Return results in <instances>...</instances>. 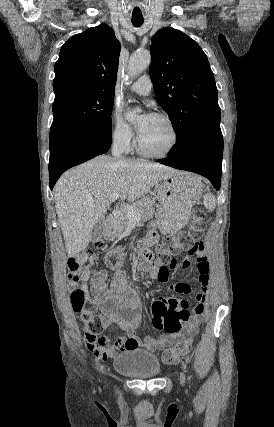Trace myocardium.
I'll return each mask as SVG.
<instances>
[{
    "label": "myocardium",
    "mask_w": 274,
    "mask_h": 427,
    "mask_svg": "<svg viewBox=\"0 0 274 427\" xmlns=\"http://www.w3.org/2000/svg\"><path fill=\"white\" fill-rule=\"evenodd\" d=\"M152 116L157 117L163 121H165L172 133V141L171 144L169 145V147L162 153H150L147 152L146 150L143 149L139 137H136V151L145 158H149V159H164L166 157H168L169 155H171V153L174 151V149L176 148L178 141H179V133H178V129L176 127L175 122L173 121V119L166 113H162V112H154L152 113Z\"/></svg>",
    "instance_id": "1"
}]
</instances>
